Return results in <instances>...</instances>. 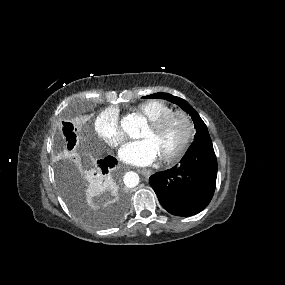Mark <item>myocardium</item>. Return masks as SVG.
<instances>
[{
    "mask_svg": "<svg viewBox=\"0 0 285 285\" xmlns=\"http://www.w3.org/2000/svg\"><path fill=\"white\" fill-rule=\"evenodd\" d=\"M181 119L186 126V133L179 146L170 153L161 155V160L164 163L171 164L181 159L188 151L196 133L195 124L191 116L182 110H171L170 112L149 121V125L155 129L160 130L164 128L173 119Z\"/></svg>",
    "mask_w": 285,
    "mask_h": 285,
    "instance_id": "obj_1",
    "label": "myocardium"
}]
</instances>
